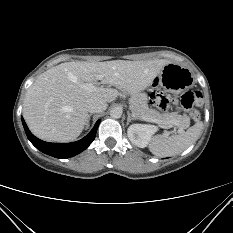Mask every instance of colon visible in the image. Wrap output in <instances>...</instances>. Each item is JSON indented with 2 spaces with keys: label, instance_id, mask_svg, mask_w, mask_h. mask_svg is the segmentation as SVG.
Masks as SVG:
<instances>
[{
  "label": "colon",
  "instance_id": "obj_1",
  "mask_svg": "<svg viewBox=\"0 0 233 233\" xmlns=\"http://www.w3.org/2000/svg\"><path fill=\"white\" fill-rule=\"evenodd\" d=\"M202 97V93L197 90H187L181 96L180 104L184 109L189 111L190 116L194 121H198L200 118V113L195 109V105L202 103ZM150 100L151 104L161 110H167L171 105L177 103L175 98L159 92L152 93Z\"/></svg>",
  "mask_w": 233,
  "mask_h": 233
}]
</instances>
